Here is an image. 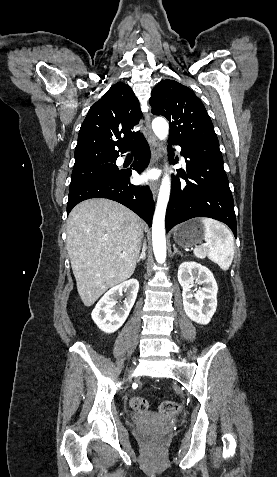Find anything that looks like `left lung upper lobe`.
I'll use <instances>...</instances> for the list:
<instances>
[{
	"label": "left lung upper lobe",
	"instance_id": "left-lung-upper-lobe-1",
	"mask_svg": "<svg viewBox=\"0 0 277 477\" xmlns=\"http://www.w3.org/2000/svg\"><path fill=\"white\" fill-rule=\"evenodd\" d=\"M152 114L170 122V140L181 142H218L212 121L201 100L188 87L163 80L152 90Z\"/></svg>",
	"mask_w": 277,
	"mask_h": 477
}]
</instances>
